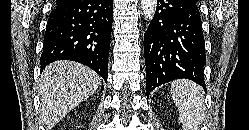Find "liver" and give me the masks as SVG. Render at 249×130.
Masks as SVG:
<instances>
[{
    "label": "liver",
    "instance_id": "liver-1",
    "mask_svg": "<svg viewBox=\"0 0 249 130\" xmlns=\"http://www.w3.org/2000/svg\"><path fill=\"white\" fill-rule=\"evenodd\" d=\"M101 83L92 69L72 61H57L43 71L39 83L40 120L53 128L73 108L89 98Z\"/></svg>",
    "mask_w": 249,
    "mask_h": 130
}]
</instances>
